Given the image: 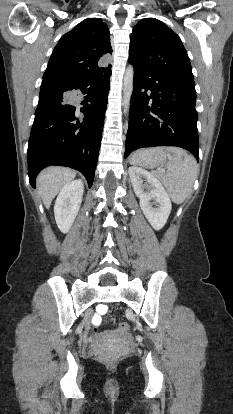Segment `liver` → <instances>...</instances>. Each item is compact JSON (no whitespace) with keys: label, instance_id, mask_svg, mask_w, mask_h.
Returning a JSON list of instances; mask_svg holds the SVG:
<instances>
[{"label":"liver","instance_id":"liver-1","mask_svg":"<svg viewBox=\"0 0 233 414\" xmlns=\"http://www.w3.org/2000/svg\"><path fill=\"white\" fill-rule=\"evenodd\" d=\"M76 176V172L65 167H49L44 169L37 177L38 194L43 204L49 208L58 192Z\"/></svg>","mask_w":233,"mask_h":414}]
</instances>
